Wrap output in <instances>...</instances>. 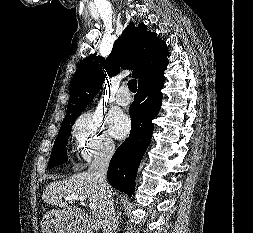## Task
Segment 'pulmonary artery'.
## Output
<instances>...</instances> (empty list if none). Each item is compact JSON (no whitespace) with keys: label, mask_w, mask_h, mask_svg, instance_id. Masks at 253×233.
<instances>
[{"label":"pulmonary artery","mask_w":253,"mask_h":233,"mask_svg":"<svg viewBox=\"0 0 253 233\" xmlns=\"http://www.w3.org/2000/svg\"><path fill=\"white\" fill-rule=\"evenodd\" d=\"M115 101L120 106H128L131 103V96L129 95L128 88L122 86L115 98Z\"/></svg>","instance_id":"pulmonary-artery-1"}]
</instances>
